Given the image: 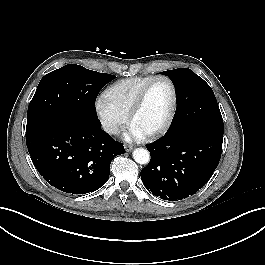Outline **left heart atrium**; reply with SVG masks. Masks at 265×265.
I'll return each instance as SVG.
<instances>
[{
    "label": "left heart atrium",
    "mask_w": 265,
    "mask_h": 265,
    "mask_svg": "<svg viewBox=\"0 0 265 265\" xmlns=\"http://www.w3.org/2000/svg\"><path fill=\"white\" fill-rule=\"evenodd\" d=\"M145 136L140 130L131 125L128 131L124 134L125 139L127 140H138L142 139Z\"/></svg>",
    "instance_id": "39dd6f15"
}]
</instances>
